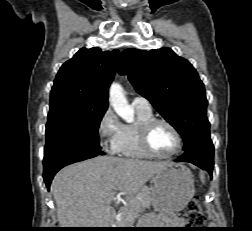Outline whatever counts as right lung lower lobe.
I'll return each mask as SVG.
<instances>
[{
	"instance_id": "1",
	"label": "right lung lower lobe",
	"mask_w": 252,
	"mask_h": 231,
	"mask_svg": "<svg viewBox=\"0 0 252 231\" xmlns=\"http://www.w3.org/2000/svg\"><path fill=\"white\" fill-rule=\"evenodd\" d=\"M98 154L103 155L104 152L95 148L78 146L64 147L45 154L43 160V178L47 189L49 190L52 178L62 167L95 157Z\"/></svg>"
}]
</instances>
